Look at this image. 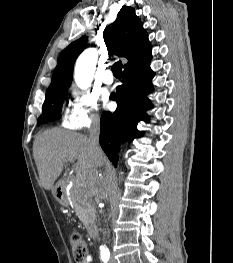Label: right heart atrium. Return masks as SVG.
<instances>
[{"instance_id": "right-heart-atrium-1", "label": "right heart atrium", "mask_w": 233, "mask_h": 263, "mask_svg": "<svg viewBox=\"0 0 233 263\" xmlns=\"http://www.w3.org/2000/svg\"><path fill=\"white\" fill-rule=\"evenodd\" d=\"M99 106L96 94L72 88L70 106L64 117L67 128L81 130L99 122Z\"/></svg>"}]
</instances>
